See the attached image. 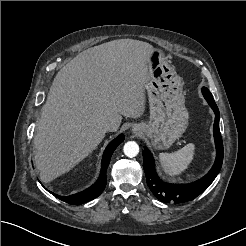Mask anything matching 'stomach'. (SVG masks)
Here are the masks:
<instances>
[{
  "label": "stomach",
  "mask_w": 246,
  "mask_h": 246,
  "mask_svg": "<svg viewBox=\"0 0 246 246\" xmlns=\"http://www.w3.org/2000/svg\"><path fill=\"white\" fill-rule=\"evenodd\" d=\"M146 81L150 117L141 123L144 135L157 150L168 149L188 126L189 114L185 107L183 81L165 61L159 49L149 56Z\"/></svg>",
  "instance_id": "obj_1"
}]
</instances>
